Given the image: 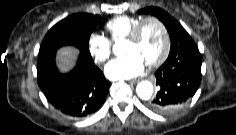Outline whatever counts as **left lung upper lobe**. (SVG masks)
Instances as JSON below:
<instances>
[{"label": "left lung upper lobe", "mask_w": 236, "mask_h": 135, "mask_svg": "<svg viewBox=\"0 0 236 135\" xmlns=\"http://www.w3.org/2000/svg\"><path fill=\"white\" fill-rule=\"evenodd\" d=\"M138 13H150L164 23L171 39L169 57L177 55L192 45H196L181 24L164 10L158 7H149L139 10Z\"/></svg>", "instance_id": "5c2ea615"}]
</instances>
